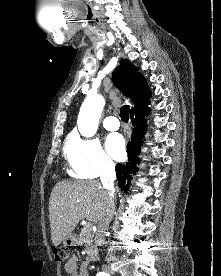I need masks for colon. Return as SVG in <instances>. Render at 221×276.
<instances>
[{"instance_id": "5ec220e1", "label": "colon", "mask_w": 221, "mask_h": 276, "mask_svg": "<svg viewBox=\"0 0 221 276\" xmlns=\"http://www.w3.org/2000/svg\"><path fill=\"white\" fill-rule=\"evenodd\" d=\"M53 254L56 261L65 262L68 259V251L66 245H55L53 249Z\"/></svg>"}]
</instances>
